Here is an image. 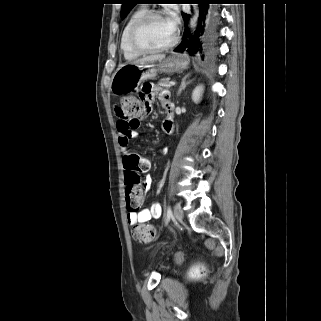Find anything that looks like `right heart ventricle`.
<instances>
[{
    "mask_svg": "<svg viewBox=\"0 0 321 321\" xmlns=\"http://www.w3.org/2000/svg\"><path fill=\"white\" fill-rule=\"evenodd\" d=\"M145 12L144 8L135 10L126 21L120 36V50L126 60H135L140 57V53L134 51L129 44V33L134 22Z\"/></svg>",
    "mask_w": 321,
    "mask_h": 321,
    "instance_id": "obj_1",
    "label": "right heart ventricle"
}]
</instances>
